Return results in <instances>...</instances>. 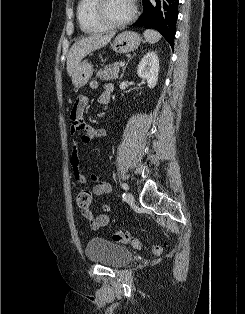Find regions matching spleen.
<instances>
[{"mask_svg": "<svg viewBox=\"0 0 245 314\" xmlns=\"http://www.w3.org/2000/svg\"><path fill=\"white\" fill-rule=\"evenodd\" d=\"M143 35L145 39L151 44H154L161 39L160 33L153 29H145Z\"/></svg>", "mask_w": 245, "mask_h": 314, "instance_id": "obj_1", "label": "spleen"}]
</instances>
